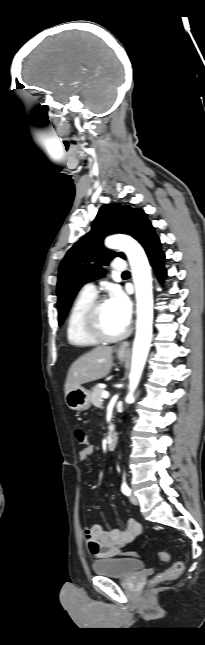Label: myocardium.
Listing matches in <instances>:
<instances>
[{
	"label": "myocardium",
	"mask_w": 205,
	"mask_h": 645,
	"mask_svg": "<svg viewBox=\"0 0 205 645\" xmlns=\"http://www.w3.org/2000/svg\"><path fill=\"white\" fill-rule=\"evenodd\" d=\"M107 301L108 300L104 297L94 299L92 303L89 305V307L87 308L84 315V326H85L86 332L92 338L96 339L99 342L119 341L125 338L129 333L128 328H125L122 332L118 334H108L102 329L100 325L99 314H100L101 307Z\"/></svg>",
	"instance_id": "f54148a6"
}]
</instances>
